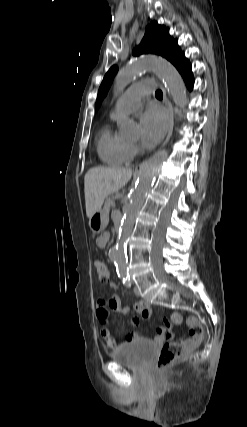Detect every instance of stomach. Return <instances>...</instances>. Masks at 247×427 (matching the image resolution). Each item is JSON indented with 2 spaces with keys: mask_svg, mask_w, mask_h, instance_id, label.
<instances>
[{
  "mask_svg": "<svg viewBox=\"0 0 247 427\" xmlns=\"http://www.w3.org/2000/svg\"><path fill=\"white\" fill-rule=\"evenodd\" d=\"M108 224V214L103 210L97 211L90 219L89 226L94 233H101Z\"/></svg>",
  "mask_w": 247,
  "mask_h": 427,
  "instance_id": "0dacf381",
  "label": "stomach"
}]
</instances>
